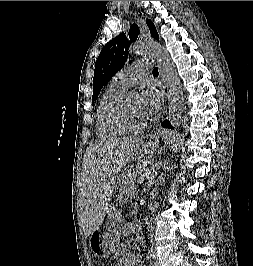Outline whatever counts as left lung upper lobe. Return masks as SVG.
Segmentation results:
<instances>
[{
    "instance_id": "left-lung-upper-lobe-1",
    "label": "left lung upper lobe",
    "mask_w": 253,
    "mask_h": 266,
    "mask_svg": "<svg viewBox=\"0 0 253 266\" xmlns=\"http://www.w3.org/2000/svg\"><path fill=\"white\" fill-rule=\"evenodd\" d=\"M146 22L152 37L158 39L159 36L152 21L147 19ZM138 34V26L133 24L129 31V37L122 32L103 47L95 63L92 104L97 99L102 87L126 64L130 43L137 39Z\"/></svg>"
}]
</instances>
